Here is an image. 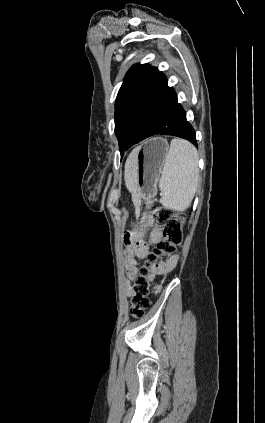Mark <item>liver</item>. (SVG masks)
Here are the masks:
<instances>
[{
    "instance_id": "liver-1",
    "label": "liver",
    "mask_w": 265,
    "mask_h": 423,
    "mask_svg": "<svg viewBox=\"0 0 265 423\" xmlns=\"http://www.w3.org/2000/svg\"><path fill=\"white\" fill-rule=\"evenodd\" d=\"M125 181L128 185H131L134 181H136V167L133 154H131L126 161Z\"/></svg>"
}]
</instances>
